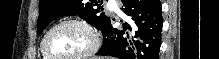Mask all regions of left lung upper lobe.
Returning <instances> with one entry per match:
<instances>
[{"label": "left lung upper lobe", "instance_id": "1", "mask_svg": "<svg viewBox=\"0 0 219 59\" xmlns=\"http://www.w3.org/2000/svg\"><path fill=\"white\" fill-rule=\"evenodd\" d=\"M102 1V0H101ZM100 0H40L37 34L57 17L78 15L100 31L109 21L102 9Z\"/></svg>", "mask_w": 219, "mask_h": 59}]
</instances>
